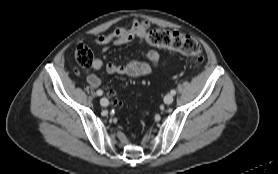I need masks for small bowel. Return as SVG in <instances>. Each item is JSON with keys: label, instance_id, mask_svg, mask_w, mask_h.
<instances>
[{"label": "small bowel", "instance_id": "small-bowel-1", "mask_svg": "<svg viewBox=\"0 0 278 174\" xmlns=\"http://www.w3.org/2000/svg\"><path fill=\"white\" fill-rule=\"evenodd\" d=\"M149 27L150 24L145 20H134L130 24L119 27L111 33L98 35L93 41L95 44L102 46L103 52H106L110 46H119L136 39L140 42L144 41ZM142 56L145 61L133 60L126 65L108 63L106 65V71L109 74L127 75L132 78H138L149 75L155 67L164 63L161 60L160 54L155 50L142 52ZM102 67L103 61L100 58H95L92 62V68L99 71ZM84 75L92 87L97 88L101 85V79L96 74L87 71Z\"/></svg>", "mask_w": 278, "mask_h": 174}]
</instances>
